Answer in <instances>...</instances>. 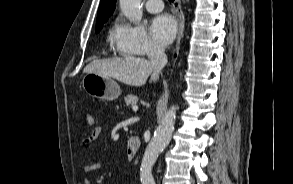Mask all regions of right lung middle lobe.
<instances>
[{"label": "right lung middle lobe", "mask_w": 293, "mask_h": 184, "mask_svg": "<svg viewBox=\"0 0 293 184\" xmlns=\"http://www.w3.org/2000/svg\"><path fill=\"white\" fill-rule=\"evenodd\" d=\"M102 26H103V25L96 26V33H98V32L101 30Z\"/></svg>", "instance_id": "right-lung-middle-lobe-1"}]
</instances>
